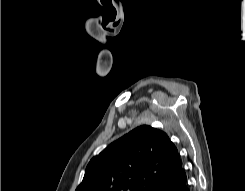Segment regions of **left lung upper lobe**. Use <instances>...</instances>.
<instances>
[{
    "label": "left lung upper lobe",
    "mask_w": 245,
    "mask_h": 191,
    "mask_svg": "<svg viewBox=\"0 0 245 191\" xmlns=\"http://www.w3.org/2000/svg\"><path fill=\"white\" fill-rule=\"evenodd\" d=\"M179 158L165 132L141 125L90 160L76 191H154Z\"/></svg>",
    "instance_id": "obj_1"
}]
</instances>
